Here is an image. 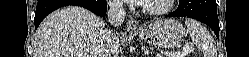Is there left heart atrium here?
Segmentation results:
<instances>
[{
    "label": "left heart atrium",
    "instance_id": "39dd6f15",
    "mask_svg": "<svg viewBox=\"0 0 249 57\" xmlns=\"http://www.w3.org/2000/svg\"><path fill=\"white\" fill-rule=\"evenodd\" d=\"M129 2L137 4V5H142L148 2V0H129Z\"/></svg>",
    "mask_w": 249,
    "mask_h": 57
}]
</instances>
